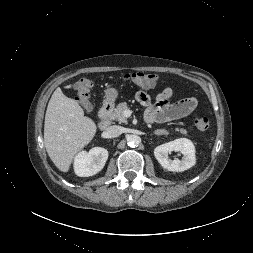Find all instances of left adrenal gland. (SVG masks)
Wrapping results in <instances>:
<instances>
[{
	"label": "left adrenal gland",
	"mask_w": 253,
	"mask_h": 253,
	"mask_svg": "<svg viewBox=\"0 0 253 253\" xmlns=\"http://www.w3.org/2000/svg\"><path fill=\"white\" fill-rule=\"evenodd\" d=\"M153 134L159 136V135H166L167 133L164 130L158 129V130H155Z\"/></svg>",
	"instance_id": "a2214340"
}]
</instances>
